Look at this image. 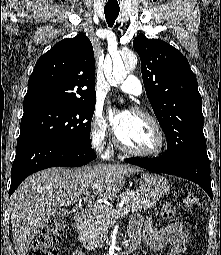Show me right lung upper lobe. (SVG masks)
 <instances>
[{"instance_id": "1", "label": "right lung upper lobe", "mask_w": 221, "mask_h": 255, "mask_svg": "<svg viewBox=\"0 0 221 255\" xmlns=\"http://www.w3.org/2000/svg\"><path fill=\"white\" fill-rule=\"evenodd\" d=\"M94 68L93 47L83 33L56 43L35 64L23 110L95 103Z\"/></svg>"}]
</instances>
